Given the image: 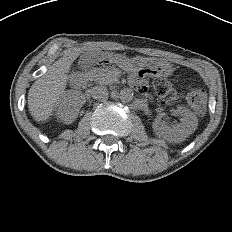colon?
I'll return each mask as SVG.
<instances>
[{
    "label": "colon",
    "instance_id": "1",
    "mask_svg": "<svg viewBox=\"0 0 232 232\" xmlns=\"http://www.w3.org/2000/svg\"><path fill=\"white\" fill-rule=\"evenodd\" d=\"M154 88L160 98H175V91L170 80L162 73L154 76ZM187 99L191 107L198 114H204L206 109V94L201 87H192L188 92Z\"/></svg>",
    "mask_w": 232,
    "mask_h": 232
}]
</instances>
